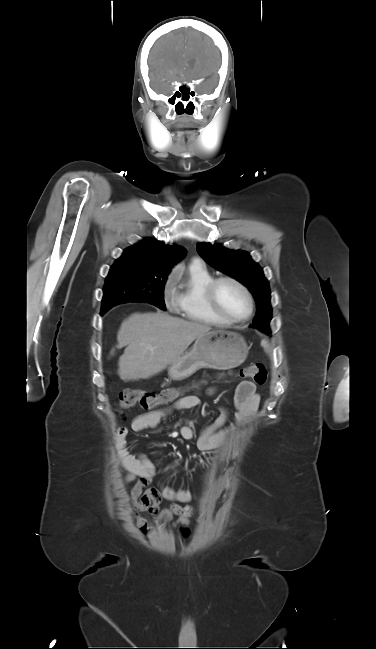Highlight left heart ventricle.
<instances>
[{"label": "left heart ventricle", "instance_id": "obj_1", "mask_svg": "<svg viewBox=\"0 0 376 649\" xmlns=\"http://www.w3.org/2000/svg\"><path fill=\"white\" fill-rule=\"evenodd\" d=\"M219 300L225 311L234 318H243L249 311L244 293L234 284L224 282L218 288Z\"/></svg>", "mask_w": 376, "mask_h": 649}]
</instances>
